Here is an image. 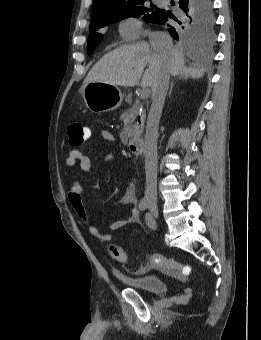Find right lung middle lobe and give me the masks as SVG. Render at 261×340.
<instances>
[{"mask_svg": "<svg viewBox=\"0 0 261 340\" xmlns=\"http://www.w3.org/2000/svg\"><path fill=\"white\" fill-rule=\"evenodd\" d=\"M145 0L136 2L125 8H122L117 14L105 17L98 21L91 22L90 35L88 38V54L90 55L95 47L102 40L103 35L101 28L108 26L128 17L144 16L146 22H152L159 14L160 9L151 4V7H144ZM177 23H173L172 32L175 33L176 39L193 41V40H211L214 37L215 19L213 12L209 13L197 8H191L187 13L182 14Z\"/></svg>", "mask_w": 261, "mask_h": 340, "instance_id": "1", "label": "right lung middle lobe"}]
</instances>
